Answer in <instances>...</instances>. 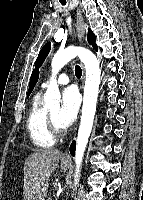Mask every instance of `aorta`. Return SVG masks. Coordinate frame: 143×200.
Instances as JSON below:
<instances>
[{
	"label": "aorta",
	"instance_id": "obj_1",
	"mask_svg": "<svg viewBox=\"0 0 143 200\" xmlns=\"http://www.w3.org/2000/svg\"><path fill=\"white\" fill-rule=\"evenodd\" d=\"M78 56L84 64L86 70V80L84 87L83 107L81 122L78 130L77 145L75 151V185L79 182L80 168L84 157V152L92 131L94 115L96 112L97 97L100 85V66L99 60L89 49L83 47L69 46L64 50L58 51L51 63L52 75L44 95V101L47 107H58L60 105L61 95L57 84L56 76L61 68Z\"/></svg>",
	"mask_w": 143,
	"mask_h": 200
}]
</instances>
